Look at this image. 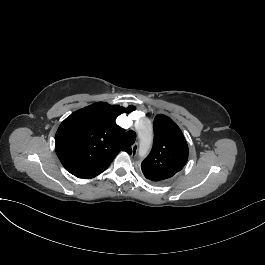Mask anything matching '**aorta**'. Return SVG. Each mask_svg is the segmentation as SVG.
<instances>
[{"label": "aorta", "instance_id": "762f6f07", "mask_svg": "<svg viewBox=\"0 0 265 265\" xmlns=\"http://www.w3.org/2000/svg\"><path fill=\"white\" fill-rule=\"evenodd\" d=\"M151 141H152L151 135L144 137V139L141 141V144H140V149H139L140 155L146 154V152L148 151L150 147Z\"/></svg>", "mask_w": 265, "mask_h": 265}]
</instances>
